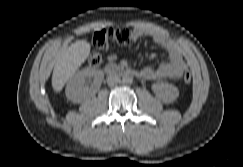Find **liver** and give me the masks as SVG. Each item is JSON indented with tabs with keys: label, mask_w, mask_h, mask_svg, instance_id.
<instances>
[{
	"label": "liver",
	"mask_w": 243,
	"mask_h": 167,
	"mask_svg": "<svg viewBox=\"0 0 243 167\" xmlns=\"http://www.w3.org/2000/svg\"><path fill=\"white\" fill-rule=\"evenodd\" d=\"M90 47L87 41L78 40L61 53L52 75V87L55 92H60L65 83L73 77L89 56Z\"/></svg>",
	"instance_id": "1"
}]
</instances>
